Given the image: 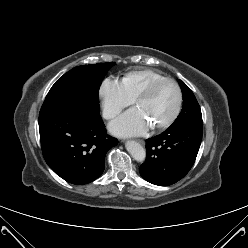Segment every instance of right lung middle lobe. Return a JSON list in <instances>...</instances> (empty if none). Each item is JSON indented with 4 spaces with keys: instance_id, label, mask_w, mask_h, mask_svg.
<instances>
[{
    "instance_id": "right-lung-middle-lobe-1",
    "label": "right lung middle lobe",
    "mask_w": 248,
    "mask_h": 248,
    "mask_svg": "<svg viewBox=\"0 0 248 248\" xmlns=\"http://www.w3.org/2000/svg\"><path fill=\"white\" fill-rule=\"evenodd\" d=\"M114 62L77 66L60 77L48 92L39 117L66 108L82 98L99 102L101 82Z\"/></svg>"
}]
</instances>
